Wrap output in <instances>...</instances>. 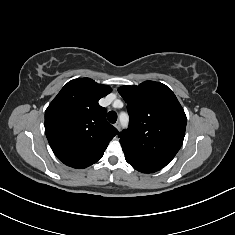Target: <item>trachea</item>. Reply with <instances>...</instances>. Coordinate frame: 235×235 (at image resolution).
<instances>
[{
	"instance_id": "1",
	"label": "trachea",
	"mask_w": 235,
	"mask_h": 235,
	"mask_svg": "<svg viewBox=\"0 0 235 235\" xmlns=\"http://www.w3.org/2000/svg\"><path fill=\"white\" fill-rule=\"evenodd\" d=\"M107 119L110 123H115L117 120V114L114 111H110L107 114Z\"/></svg>"
}]
</instances>
